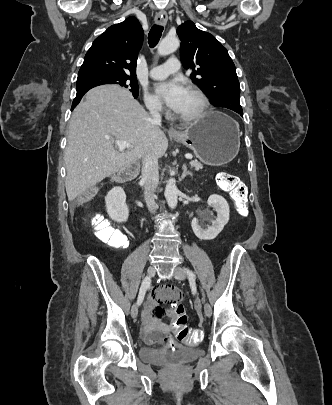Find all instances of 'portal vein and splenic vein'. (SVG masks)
Instances as JSON below:
<instances>
[{
	"label": "portal vein and splenic vein",
	"instance_id": "portal-vein-and-splenic-vein-1",
	"mask_svg": "<svg viewBox=\"0 0 332 405\" xmlns=\"http://www.w3.org/2000/svg\"><path fill=\"white\" fill-rule=\"evenodd\" d=\"M115 146L118 148L119 151H123V150H125V149H127V148H130V147H131V144L128 143V142H126V141L116 140V141H115ZM185 157H186L187 159H192V156H191V155H188V154L185 155Z\"/></svg>",
	"mask_w": 332,
	"mask_h": 405
}]
</instances>
